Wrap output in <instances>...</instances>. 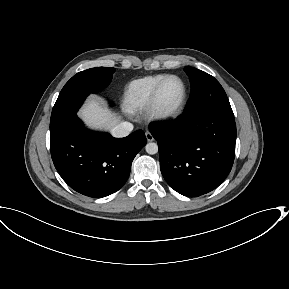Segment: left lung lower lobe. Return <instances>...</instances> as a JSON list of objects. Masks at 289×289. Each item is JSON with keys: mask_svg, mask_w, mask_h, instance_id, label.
I'll return each instance as SVG.
<instances>
[{"mask_svg": "<svg viewBox=\"0 0 289 289\" xmlns=\"http://www.w3.org/2000/svg\"><path fill=\"white\" fill-rule=\"evenodd\" d=\"M161 173L178 193L196 197L218 187L231 171L235 156L233 112L197 109L173 121L153 122Z\"/></svg>", "mask_w": 289, "mask_h": 289, "instance_id": "left-lung-lower-lobe-1", "label": "left lung lower lobe"}]
</instances>
